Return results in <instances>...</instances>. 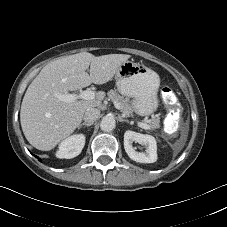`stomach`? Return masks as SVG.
Instances as JSON below:
<instances>
[{"instance_id": "0dacf381", "label": "stomach", "mask_w": 227, "mask_h": 227, "mask_svg": "<svg viewBox=\"0 0 227 227\" xmlns=\"http://www.w3.org/2000/svg\"><path fill=\"white\" fill-rule=\"evenodd\" d=\"M117 90L132 100V108L139 116L154 113L159 105V75L144 64L126 61L115 74Z\"/></svg>"}]
</instances>
